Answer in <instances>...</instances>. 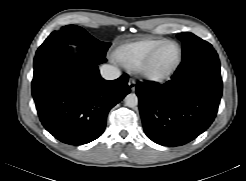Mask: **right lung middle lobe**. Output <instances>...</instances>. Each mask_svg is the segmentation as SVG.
Here are the masks:
<instances>
[{
    "label": "right lung middle lobe",
    "mask_w": 246,
    "mask_h": 181,
    "mask_svg": "<svg viewBox=\"0 0 246 181\" xmlns=\"http://www.w3.org/2000/svg\"><path fill=\"white\" fill-rule=\"evenodd\" d=\"M61 43L78 45L85 53L103 61H105L106 52L111 45L95 39L79 26L67 25L62 27L60 31L52 32L39 47L36 56Z\"/></svg>",
    "instance_id": "1"
}]
</instances>
